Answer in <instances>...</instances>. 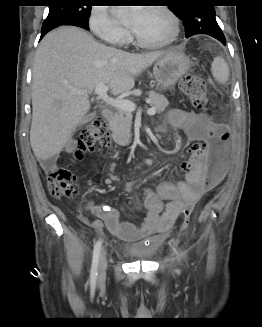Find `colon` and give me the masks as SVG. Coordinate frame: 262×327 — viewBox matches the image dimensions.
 Listing matches in <instances>:
<instances>
[{
    "mask_svg": "<svg viewBox=\"0 0 262 327\" xmlns=\"http://www.w3.org/2000/svg\"><path fill=\"white\" fill-rule=\"evenodd\" d=\"M179 87L188 100L197 108L204 109L207 103V86L204 79L198 75L184 76ZM110 143V134L106 122L98 117L93 119L82 129L78 142L75 158L80 159L82 154L94 147L107 146ZM231 149V133L224 124H217L216 139L210 152L206 156L208 161V174L206 176V190H211L224 179L229 163ZM196 151L206 152L205 145L195 144L189 150L192 154ZM48 188L56 198H70L76 195L74 176L64 167H56L48 174ZM196 200L185 203L182 214L188 218L196 204Z\"/></svg>",
    "mask_w": 262,
    "mask_h": 327,
    "instance_id": "5ec220e1",
    "label": "colon"
}]
</instances>
